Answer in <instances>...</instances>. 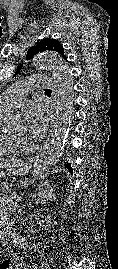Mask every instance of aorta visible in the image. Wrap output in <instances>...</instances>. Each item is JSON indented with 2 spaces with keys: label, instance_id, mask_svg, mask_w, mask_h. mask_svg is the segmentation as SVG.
<instances>
[{
  "label": "aorta",
  "instance_id": "1",
  "mask_svg": "<svg viewBox=\"0 0 118 269\" xmlns=\"http://www.w3.org/2000/svg\"><path fill=\"white\" fill-rule=\"evenodd\" d=\"M32 65L36 69L48 68L57 79L59 114L54 134L42 154L34 164L33 172L42 176L47 174L62 155L69 133L74 102L73 76L68 64L57 54L42 52L34 56ZM15 121L5 122L4 127H14Z\"/></svg>",
  "mask_w": 118,
  "mask_h": 269
}]
</instances>
